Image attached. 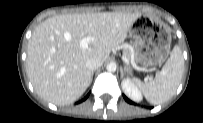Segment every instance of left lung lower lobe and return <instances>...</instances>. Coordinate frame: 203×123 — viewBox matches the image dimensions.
<instances>
[{
	"instance_id": "0a47b994",
	"label": "left lung lower lobe",
	"mask_w": 203,
	"mask_h": 123,
	"mask_svg": "<svg viewBox=\"0 0 203 123\" xmlns=\"http://www.w3.org/2000/svg\"><path fill=\"white\" fill-rule=\"evenodd\" d=\"M125 100L129 103H132L129 99H127L125 96H124Z\"/></svg>"
}]
</instances>
